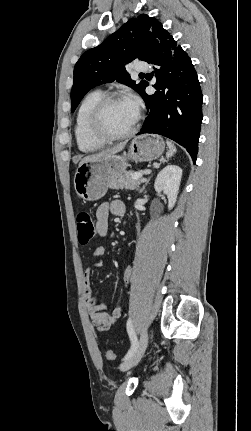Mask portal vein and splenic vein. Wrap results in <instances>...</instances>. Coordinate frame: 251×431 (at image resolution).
I'll use <instances>...</instances> for the list:
<instances>
[{
    "label": "portal vein and splenic vein",
    "instance_id": "portal-vein-and-splenic-vein-1",
    "mask_svg": "<svg viewBox=\"0 0 251 431\" xmlns=\"http://www.w3.org/2000/svg\"><path fill=\"white\" fill-rule=\"evenodd\" d=\"M143 177V174L142 173H134L133 175H132V179H138V178H142ZM143 181L145 180V179H142Z\"/></svg>",
    "mask_w": 251,
    "mask_h": 431
}]
</instances>
